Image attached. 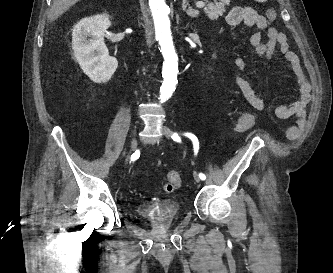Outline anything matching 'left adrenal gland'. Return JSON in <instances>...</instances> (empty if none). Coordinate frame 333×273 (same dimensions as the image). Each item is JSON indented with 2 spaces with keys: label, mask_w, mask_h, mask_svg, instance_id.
<instances>
[{
  "label": "left adrenal gland",
  "mask_w": 333,
  "mask_h": 273,
  "mask_svg": "<svg viewBox=\"0 0 333 273\" xmlns=\"http://www.w3.org/2000/svg\"><path fill=\"white\" fill-rule=\"evenodd\" d=\"M182 8L190 17L195 18L199 15V11L192 9L187 0L182 1Z\"/></svg>",
  "instance_id": "a2214340"
}]
</instances>
